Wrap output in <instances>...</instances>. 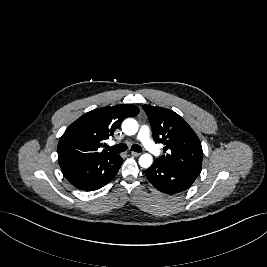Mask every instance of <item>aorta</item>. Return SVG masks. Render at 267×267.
<instances>
[{
	"mask_svg": "<svg viewBox=\"0 0 267 267\" xmlns=\"http://www.w3.org/2000/svg\"><path fill=\"white\" fill-rule=\"evenodd\" d=\"M122 131L126 135H134L138 131V123L133 118H127L122 123ZM153 163V157L149 153H144L139 158V165L143 168H149Z\"/></svg>",
	"mask_w": 267,
	"mask_h": 267,
	"instance_id": "aorta-1",
	"label": "aorta"
}]
</instances>
